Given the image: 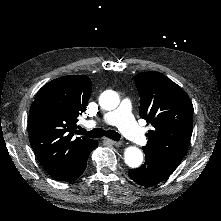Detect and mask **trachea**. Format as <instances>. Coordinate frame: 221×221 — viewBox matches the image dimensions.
<instances>
[{
  "label": "trachea",
  "mask_w": 221,
  "mask_h": 221,
  "mask_svg": "<svg viewBox=\"0 0 221 221\" xmlns=\"http://www.w3.org/2000/svg\"><path fill=\"white\" fill-rule=\"evenodd\" d=\"M77 134L85 135L89 138H100L106 136L115 141H118L121 137L119 133L113 130H104L102 128H94L91 131H86L84 128L79 127Z\"/></svg>",
  "instance_id": "trachea-1"
}]
</instances>
